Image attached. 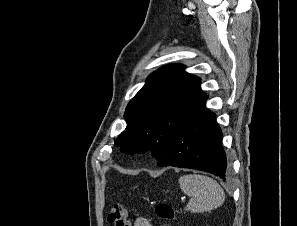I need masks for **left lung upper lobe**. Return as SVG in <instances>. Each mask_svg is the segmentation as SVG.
I'll return each instance as SVG.
<instances>
[{
    "mask_svg": "<svg viewBox=\"0 0 297 226\" xmlns=\"http://www.w3.org/2000/svg\"><path fill=\"white\" fill-rule=\"evenodd\" d=\"M171 64L152 73L131 99L124 114L126 130L115 145L133 154L149 150L160 161L179 127L206 96L200 79Z\"/></svg>",
    "mask_w": 297,
    "mask_h": 226,
    "instance_id": "5c2ea615",
    "label": "left lung upper lobe"
}]
</instances>
